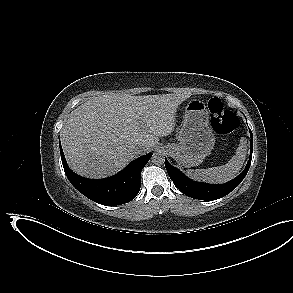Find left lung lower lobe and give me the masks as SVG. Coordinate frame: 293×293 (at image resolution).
Instances as JSON below:
<instances>
[{
  "label": "left lung lower lobe",
  "instance_id": "0a47b994",
  "mask_svg": "<svg viewBox=\"0 0 293 293\" xmlns=\"http://www.w3.org/2000/svg\"><path fill=\"white\" fill-rule=\"evenodd\" d=\"M251 136V149H250V157L249 161L246 165L245 170L238 175L233 180L221 184V185H212L206 184L201 182H195L185 175H183L177 168L170 165L168 161L165 159V167L168 171V174L173 181L174 185L185 195L199 200H216L222 198L233 191L244 179L246 176L250 165H251V158L253 152V140H252V133L250 132Z\"/></svg>",
  "mask_w": 293,
  "mask_h": 293
}]
</instances>
